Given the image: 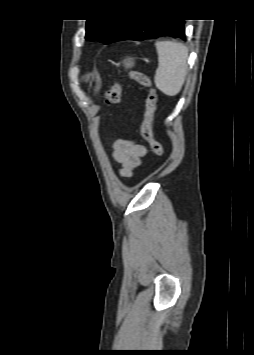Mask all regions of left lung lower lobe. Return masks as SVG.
Listing matches in <instances>:
<instances>
[{
    "instance_id": "left-lung-lower-lobe-1",
    "label": "left lung lower lobe",
    "mask_w": 254,
    "mask_h": 355,
    "mask_svg": "<svg viewBox=\"0 0 254 355\" xmlns=\"http://www.w3.org/2000/svg\"><path fill=\"white\" fill-rule=\"evenodd\" d=\"M184 20L182 19H141L132 18L116 41H143L162 36L185 39Z\"/></svg>"
}]
</instances>
